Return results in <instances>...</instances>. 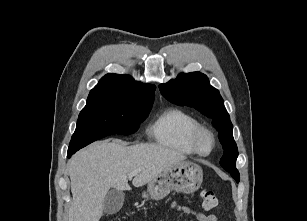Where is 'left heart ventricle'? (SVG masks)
Masks as SVG:
<instances>
[{"label": "left heart ventricle", "instance_id": "b2bd125f", "mask_svg": "<svg viewBox=\"0 0 307 221\" xmlns=\"http://www.w3.org/2000/svg\"><path fill=\"white\" fill-rule=\"evenodd\" d=\"M201 146L204 150H207L209 149V146H210V142H209V139L204 137L201 141Z\"/></svg>", "mask_w": 307, "mask_h": 221}]
</instances>
